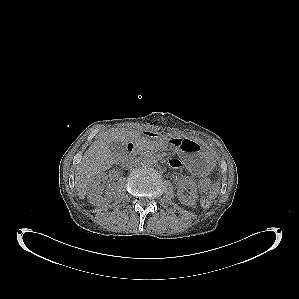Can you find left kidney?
<instances>
[{
  "label": "left kidney",
  "mask_w": 299,
  "mask_h": 299,
  "mask_svg": "<svg viewBox=\"0 0 299 299\" xmlns=\"http://www.w3.org/2000/svg\"><path fill=\"white\" fill-rule=\"evenodd\" d=\"M184 189H189V196H185L183 194ZM198 192H197V186L196 183L194 182V180L190 177H183L180 181H179V186L177 189V198L178 200L184 204V205H188V206H193L197 199H198Z\"/></svg>",
  "instance_id": "left-kidney-1"
}]
</instances>
